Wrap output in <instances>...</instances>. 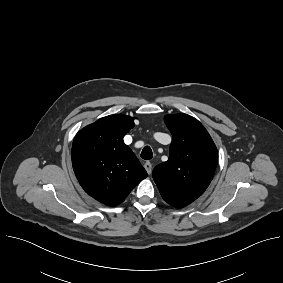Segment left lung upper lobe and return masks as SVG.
<instances>
[{
    "mask_svg": "<svg viewBox=\"0 0 283 283\" xmlns=\"http://www.w3.org/2000/svg\"><path fill=\"white\" fill-rule=\"evenodd\" d=\"M172 134L168 161L157 165L153 179L162 198L171 206L184 207L209 186L218 162L217 148L203 125L184 113L167 115Z\"/></svg>",
    "mask_w": 283,
    "mask_h": 283,
    "instance_id": "obj_1",
    "label": "left lung upper lobe"
}]
</instances>
